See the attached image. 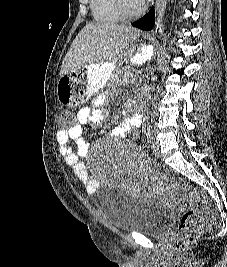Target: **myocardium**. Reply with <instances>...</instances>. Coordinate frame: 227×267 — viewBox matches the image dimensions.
Wrapping results in <instances>:
<instances>
[{
  "label": "myocardium",
  "instance_id": "myocardium-1",
  "mask_svg": "<svg viewBox=\"0 0 227 267\" xmlns=\"http://www.w3.org/2000/svg\"><path fill=\"white\" fill-rule=\"evenodd\" d=\"M116 10L124 19H134L141 15L143 8L138 7L134 10L129 9L125 3V0H114Z\"/></svg>",
  "mask_w": 227,
  "mask_h": 267
}]
</instances>
